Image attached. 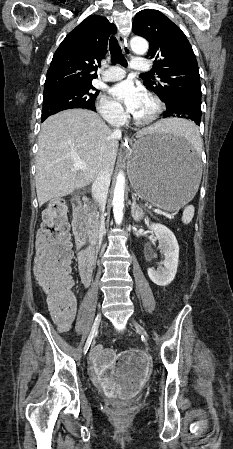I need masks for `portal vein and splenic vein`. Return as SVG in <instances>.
<instances>
[{
  "mask_svg": "<svg viewBox=\"0 0 233 449\" xmlns=\"http://www.w3.org/2000/svg\"><path fill=\"white\" fill-rule=\"evenodd\" d=\"M75 167H76L77 169H81V170H86V169H87L86 164H85L83 161L79 160V159H78V160H75ZM153 211H154L155 213H157V214H161V215H165V216L168 215L166 212H164V211H162V210H160V209H158V208L153 209Z\"/></svg>",
  "mask_w": 233,
  "mask_h": 449,
  "instance_id": "portal-vein-and-splenic-vein-1",
  "label": "portal vein and splenic vein"
}]
</instances>
